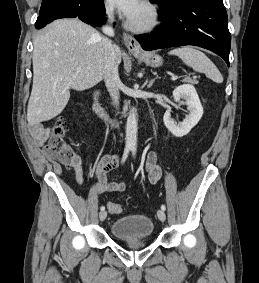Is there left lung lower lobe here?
<instances>
[{"mask_svg":"<svg viewBox=\"0 0 259 283\" xmlns=\"http://www.w3.org/2000/svg\"><path fill=\"white\" fill-rule=\"evenodd\" d=\"M159 15V28L135 36L144 50L195 45L218 54L229 66L231 37L223 0H184Z\"/></svg>","mask_w":259,"mask_h":283,"instance_id":"obj_1","label":"left lung lower lobe"}]
</instances>
